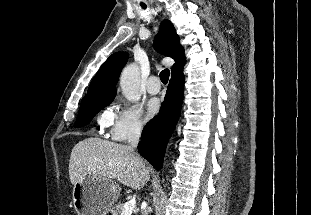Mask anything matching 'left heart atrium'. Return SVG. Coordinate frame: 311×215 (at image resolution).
Returning a JSON list of instances; mask_svg holds the SVG:
<instances>
[{
	"label": "left heart atrium",
	"instance_id": "1",
	"mask_svg": "<svg viewBox=\"0 0 311 215\" xmlns=\"http://www.w3.org/2000/svg\"><path fill=\"white\" fill-rule=\"evenodd\" d=\"M160 102L156 98L148 100L145 108V117L146 119H151L159 113Z\"/></svg>",
	"mask_w": 311,
	"mask_h": 215
}]
</instances>
